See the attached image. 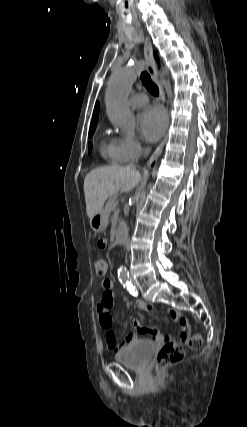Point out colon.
Masks as SVG:
<instances>
[{
  "label": "colon",
  "instance_id": "1",
  "mask_svg": "<svg viewBox=\"0 0 247 427\" xmlns=\"http://www.w3.org/2000/svg\"><path fill=\"white\" fill-rule=\"evenodd\" d=\"M94 268L98 275L103 276L108 270V263L104 258H97L94 261ZM202 339L198 334L193 335L188 339V345L197 349L201 346ZM184 356V349L180 343L165 342L158 352L156 360V368L162 369L166 366L179 362Z\"/></svg>",
  "mask_w": 247,
  "mask_h": 427
}]
</instances>
